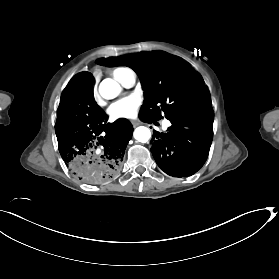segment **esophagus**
Returning a JSON list of instances; mask_svg holds the SVG:
<instances>
[{
  "mask_svg": "<svg viewBox=\"0 0 279 279\" xmlns=\"http://www.w3.org/2000/svg\"><path fill=\"white\" fill-rule=\"evenodd\" d=\"M131 123H132L134 126L139 125V123H138L137 121H135V120H132Z\"/></svg>",
  "mask_w": 279,
  "mask_h": 279,
  "instance_id": "1",
  "label": "esophagus"
}]
</instances>
